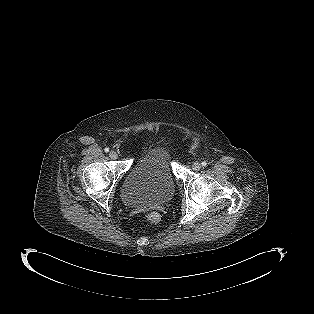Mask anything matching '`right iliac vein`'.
I'll return each instance as SVG.
<instances>
[{
	"instance_id": "right-iliac-vein-1",
	"label": "right iliac vein",
	"mask_w": 314,
	"mask_h": 314,
	"mask_svg": "<svg viewBox=\"0 0 314 314\" xmlns=\"http://www.w3.org/2000/svg\"><path fill=\"white\" fill-rule=\"evenodd\" d=\"M109 157L111 159H117L118 158V153L116 151L112 150V151L109 152Z\"/></svg>"
}]
</instances>
